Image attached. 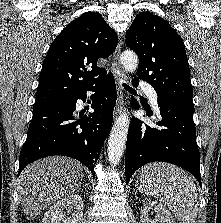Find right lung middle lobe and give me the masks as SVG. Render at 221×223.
Returning a JSON list of instances; mask_svg holds the SVG:
<instances>
[{
    "label": "right lung middle lobe",
    "mask_w": 221,
    "mask_h": 223,
    "mask_svg": "<svg viewBox=\"0 0 221 223\" xmlns=\"http://www.w3.org/2000/svg\"><path fill=\"white\" fill-rule=\"evenodd\" d=\"M46 106H48V105H46ZM43 107H45V106H39V107L34 106V109L43 108Z\"/></svg>",
    "instance_id": "dd1d6c3e"
}]
</instances>
